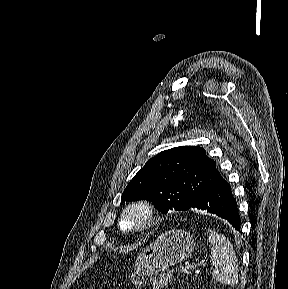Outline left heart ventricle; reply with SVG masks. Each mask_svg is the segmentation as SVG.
Returning <instances> with one entry per match:
<instances>
[{
  "mask_svg": "<svg viewBox=\"0 0 288 289\" xmlns=\"http://www.w3.org/2000/svg\"><path fill=\"white\" fill-rule=\"evenodd\" d=\"M138 219L139 218H138L137 214H135V213L126 216L124 223H123L124 228L128 229V228L133 227L134 225H136L138 223Z\"/></svg>",
  "mask_w": 288,
  "mask_h": 289,
  "instance_id": "obj_1",
  "label": "left heart ventricle"
}]
</instances>
